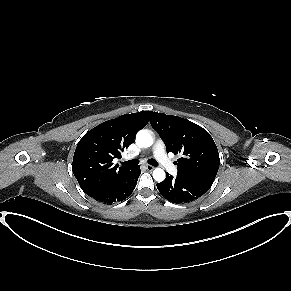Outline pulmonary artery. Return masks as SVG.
<instances>
[{"label":"pulmonary artery","mask_w":291,"mask_h":291,"mask_svg":"<svg viewBox=\"0 0 291 291\" xmlns=\"http://www.w3.org/2000/svg\"><path fill=\"white\" fill-rule=\"evenodd\" d=\"M154 155L156 159L159 161L161 166L167 170L170 174H177V167L171 162V160L167 157L165 152L164 143L161 140H158L153 148Z\"/></svg>","instance_id":"1"}]
</instances>
